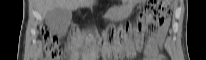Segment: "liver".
<instances>
[{"label":"liver","instance_id":"6515ba94","mask_svg":"<svg viewBox=\"0 0 206 60\" xmlns=\"http://www.w3.org/2000/svg\"><path fill=\"white\" fill-rule=\"evenodd\" d=\"M90 0H38L40 12L45 16L49 11L55 8H64L74 10L80 5L87 4Z\"/></svg>","mask_w":206,"mask_h":60}]
</instances>
